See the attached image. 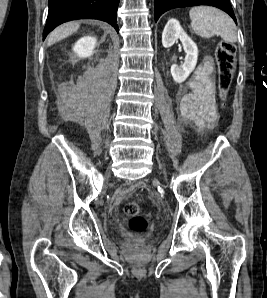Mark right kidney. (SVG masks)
Instances as JSON below:
<instances>
[{
    "instance_id": "ca27d5eb",
    "label": "right kidney",
    "mask_w": 267,
    "mask_h": 298,
    "mask_svg": "<svg viewBox=\"0 0 267 298\" xmlns=\"http://www.w3.org/2000/svg\"><path fill=\"white\" fill-rule=\"evenodd\" d=\"M96 42L95 37L84 36L75 43L73 50L80 58L90 57L94 53Z\"/></svg>"
}]
</instances>
